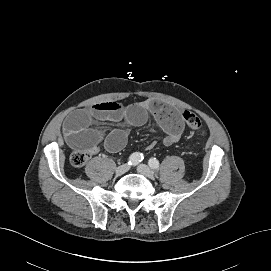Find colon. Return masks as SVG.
Returning <instances> with one entry per match:
<instances>
[{
    "label": "colon",
    "instance_id": "1",
    "mask_svg": "<svg viewBox=\"0 0 271 271\" xmlns=\"http://www.w3.org/2000/svg\"><path fill=\"white\" fill-rule=\"evenodd\" d=\"M182 118L191 130L198 131L201 129V120L196 114L185 110L182 112ZM87 160L88 154L80 151L73 153L70 157V162L75 167H82L87 162Z\"/></svg>",
    "mask_w": 271,
    "mask_h": 271
}]
</instances>
